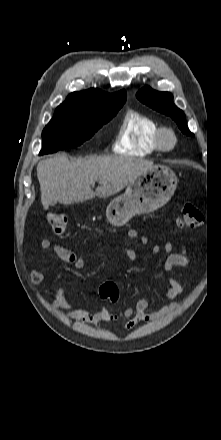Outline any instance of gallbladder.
Masks as SVG:
<instances>
[{
	"mask_svg": "<svg viewBox=\"0 0 221 440\" xmlns=\"http://www.w3.org/2000/svg\"><path fill=\"white\" fill-rule=\"evenodd\" d=\"M54 205H55V203H52V204H51V206H54Z\"/></svg>",
	"mask_w": 221,
	"mask_h": 440,
	"instance_id": "gallbladder-1",
	"label": "gallbladder"
}]
</instances>
